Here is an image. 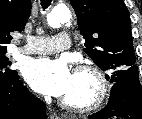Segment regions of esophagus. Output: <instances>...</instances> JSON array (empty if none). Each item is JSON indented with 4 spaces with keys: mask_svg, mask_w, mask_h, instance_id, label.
I'll list each match as a JSON object with an SVG mask.
<instances>
[{
    "mask_svg": "<svg viewBox=\"0 0 142 119\" xmlns=\"http://www.w3.org/2000/svg\"><path fill=\"white\" fill-rule=\"evenodd\" d=\"M50 119H60V116L55 112H51L50 113Z\"/></svg>",
    "mask_w": 142,
    "mask_h": 119,
    "instance_id": "34e87169",
    "label": "esophagus"
}]
</instances>
